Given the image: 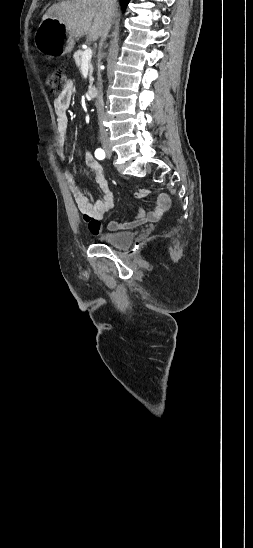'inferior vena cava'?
I'll list each match as a JSON object with an SVG mask.
<instances>
[{"label": "inferior vena cava", "mask_w": 253, "mask_h": 548, "mask_svg": "<svg viewBox=\"0 0 253 548\" xmlns=\"http://www.w3.org/2000/svg\"><path fill=\"white\" fill-rule=\"evenodd\" d=\"M102 2V7H103V10H104V15H105V26L101 32V42H100V48L102 47L107 35H108V32L110 30V27H111V21H112V18L114 17L115 13H116V10H117V2L116 0H101ZM97 125L99 126V130H100V138L101 140H107L108 139V133H107V129H105L104 125H105V122H104V118H105V115H104V101H103V93H102V80L99 78V96H98V99H97Z\"/></svg>", "instance_id": "1"}]
</instances>
